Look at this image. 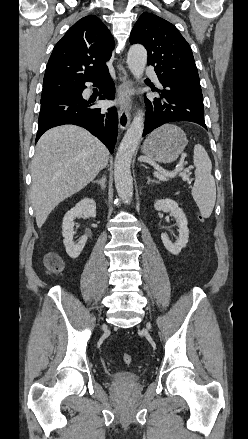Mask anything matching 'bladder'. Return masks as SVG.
Segmentation results:
<instances>
[{"instance_id": "1", "label": "bladder", "mask_w": 248, "mask_h": 439, "mask_svg": "<svg viewBox=\"0 0 248 439\" xmlns=\"http://www.w3.org/2000/svg\"><path fill=\"white\" fill-rule=\"evenodd\" d=\"M112 383L116 386H133L139 383L141 376L130 371H119L111 375Z\"/></svg>"}]
</instances>
